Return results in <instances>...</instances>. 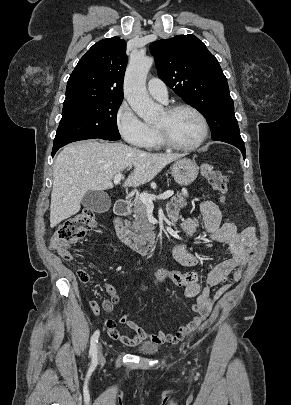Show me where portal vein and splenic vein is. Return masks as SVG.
<instances>
[{
    "mask_svg": "<svg viewBox=\"0 0 291 405\" xmlns=\"http://www.w3.org/2000/svg\"><path fill=\"white\" fill-rule=\"evenodd\" d=\"M122 179V174L118 173L114 176V184H119ZM174 194L172 190H167L163 194L156 196L154 194L142 193L140 194L139 200L143 202L146 206H153V200H165L171 197Z\"/></svg>",
    "mask_w": 291,
    "mask_h": 405,
    "instance_id": "1",
    "label": "portal vein and splenic vein"
}]
</instances>
